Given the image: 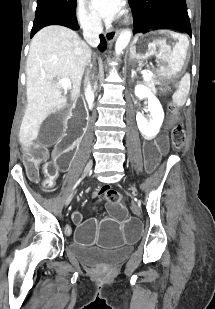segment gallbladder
I'll return each instance as SVG.
<instances>
[{"mask_svg": "<svg viewBox=\"0 0 215 309\" xmlns=\"http://www.w3.org/2000/svg\"><path fill=\"white\" fill-rule=\"evenodd\" d=\"M72 104L73 100L68 98L64 114ZM62 121V115H51L50 120L44 122L45 129H41L37 135L38 140H41L43 148H52L53 144H57L56 136H61Z\"/></svg>", "mask_w": 215, "mask_h": 309, "instance_id": "obj_1", "label": "gallbladder"}]
</instances>
